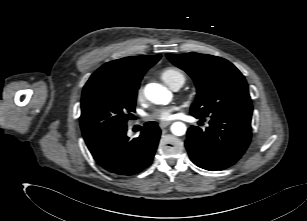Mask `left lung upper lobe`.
<instances>
[{
  "label": "left lung upper lobe",
  "mask_w": 307,
  "mask_h": 221,
  "mask_svg": "<svg viewBox=\"0 0 307 221\" xmlns=\"http://www.w3.org/2000/svg\"><path fill=\"white\" fill-rule=\"evenodd\" d=\"M166 56L195 82L197 95L190 110L193 116L204 118L228 111L252 114L248 84L228 60L199 53Z\"/></svg>",
  "instance_id": "1"
}]
</instances>
